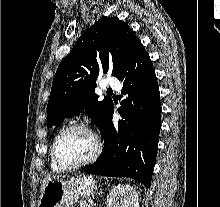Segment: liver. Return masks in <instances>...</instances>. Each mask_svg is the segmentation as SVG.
I'll return each mask as SVG.
<instances>
[{
    "label": "liver",
    "instance_id": "1",
    "mask_svg": "<svg viewBox=\"0 0 220 207\" xmlns=\"http://www.w3.org/2000/svg\"><path fill=\"white\" fill-rule=\"evenodd\" d=\"M53 178H59V176H54ZM51 179H52L51 177H47V178L43 181V184L41 185V188H40L41 193H42V191H43L45 185L47 184V182H49Z\"/></svg>",
    "mask_w": 220,
    "mask_h": 207
}]
</instances>
